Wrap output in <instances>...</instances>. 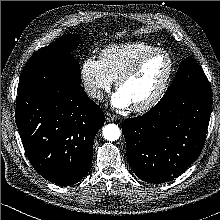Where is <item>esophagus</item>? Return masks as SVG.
<instances>
[{"label":"esophagus","mask_w":220,"mask_h":220,"mask_svg":"<svg viewBox=\"0 0 220 220\" xmlns=\"http://www.w3.org/2000/svg\"><path fill=\"white\" fill-rule=\"evenodd\" d=\"M105 120L107 121V122H111V121H114L115 120V117L112 115V114H110V113H105Z\"/></svg>","instance_id":"1"}]
</instances>
